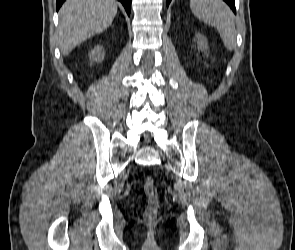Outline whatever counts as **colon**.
I'll return each instance as SVG.
<instances>
[{
  "label": "colon",
  "mask_w": 295,
  "mask_h": 250,
  "mask_svg": "<svg viewBox=\"0 0 295 250\" xmlns=\"http://www.w3.org/2000/svg\"><path fill=\"white\" fill-rule=\"evenodd\" d=\"M143 189L148 199V205L144 211V218L152 222L157 217V195L155 190V182L152 177H146L143 182Z\"/></svg>",
  "instance_id": "colon-1"
}]
</instances>
